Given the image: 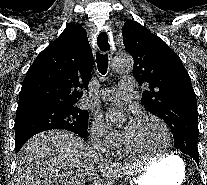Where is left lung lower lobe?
Returning <instances> with one entry per match:
<instances>
[{"label":"left lung lower lobe","mask_w":207,"mask_h":185,"mask_svg":"<svg viewBox=\"0 0 207 185\" xmlns=\"http://www.w3.org/2000/svg\"><path fill=\"white\" fill-rule=\"evenodd\" d=\"M189 156H191L195 161L196 163L199 165V153H189L188 154Z\"/></svg>","instance_id":"0a47b994"}]
</instances>
